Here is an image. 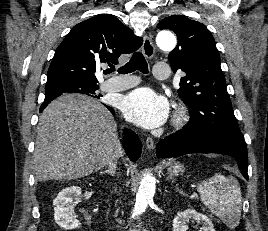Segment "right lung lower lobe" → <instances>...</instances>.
I'll list each match as a JSON object with an SVG mask.
<instances>
[{
  "label": "right lung lower lobe",
  "instance_id": "obj_1",
  "mask_svg": "<svg viewBox=\"0 0 268 231\" xmlns=\"http://www.w3.org/2000/svg\"><path fill=\"white\" fill-rule=\"evenodd\" d=\"M107 108L113 113V109L108 107ZM44 108L40 109V112L43 111ZM123 147L130 158L131 161H136L142 151V144L136 134L132 131L125 129V136H124Z\"/></svg>",
  "mask_w": 268,
  "mask_h": 231
}]
</instances>
